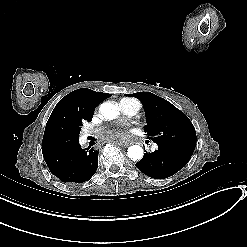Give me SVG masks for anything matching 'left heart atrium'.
<instances>
[{"label":"left heart atrium","mask_w":247,"mask_h":247,"mask_svg":"<svg viewBox=\"0 0 247 247\" xmlns=\"http://www.w3.org/2000/svg\"><path fill=\"white\" fill-rule=\"evenodd\" d=\"M101 132L103 134L104 144L120 147L126 146L127 142L130 140V134L123 131L119 126L117 129L104 130Z\"/></svg>","instance_id":"left-heart-atrium-1"}]
</instances>
